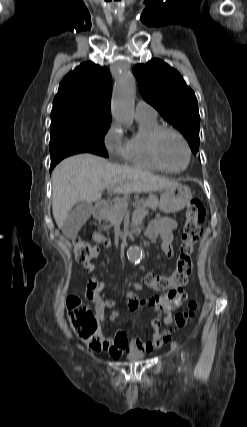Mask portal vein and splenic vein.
Segmentation results:
<instances>
[{"mask_svg": "<svg viewBox=\"0 0 247 427\" xmlns=\"http://www.w3.org/2000/svg\"><path fill=\"white\" fill-rule=\"evenodd\" d=\"M144 200H140V201H138L137 202V204H139V203H141V202H143ZM133 205H136V203H133Z\"/></svg>", "mask_w": 247, "mask_h": 427, "instance_id": "18ae733b", "label": "portal vein and splenic vein"}]
</instances>
